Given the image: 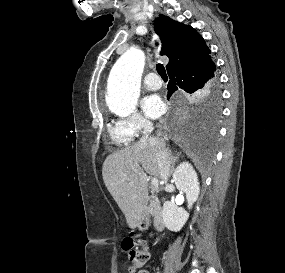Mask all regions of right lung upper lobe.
Masks as SVG:
<instances>
[{
  "label": "right lung upper lobe",
  "instance_id": "cb5924a9",
  "mask_svg": "<svg viewBox=\"0 0 285 273\" xmlns=\"http://www.w3.org/2000/svg\"><path fill=\"white\" fill-rule=\"evenodd\" d=\"M154 27L162 41L161 55L169 58L167 72L210 52L204 39L191 26L160 15Z\"/></svg>",
  "mask_w": 285,
  "mask_h": 273
}]
</instances>
